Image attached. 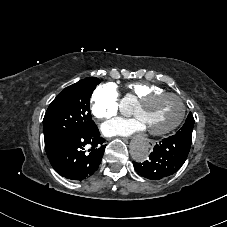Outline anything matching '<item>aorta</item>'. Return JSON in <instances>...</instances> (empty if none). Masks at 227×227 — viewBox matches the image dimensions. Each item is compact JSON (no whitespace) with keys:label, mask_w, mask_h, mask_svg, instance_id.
Segmentation results:
<instances>
[{"label":"aorta","mask_w":227,"mask_h":227,"mask_svg":"<svg viewBox=\"0 0 227 227\" xmlns=\"http://www.w3.org/2000/svg\"><path fill=\"white\" fill-rule=\"evenodd\" d=\"M130 154L134 161L144 162L148 158L149 144L145 140H137L131 144Z\"/></svg>","instance_id":"aorta-1"}]
</instances>
